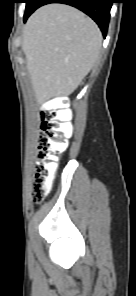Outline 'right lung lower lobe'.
<instances>
[{"mask_svg":"<svg viewBox=\"0 0 136 296\" xmlns=\"http://www.w3.org/2000/svg\"><path fill=\"white\" fill-rule=\"evenodd\" d=\"M48 3H64L78 8L98 24L104 38L106 37L113 0H35L32 11L24 16V22L34 10Z\"/></svg>","mask_w":136,"mask_h":296,"instance_id":"obj_1","label":"right lung lower lobe"}]
</instances>
